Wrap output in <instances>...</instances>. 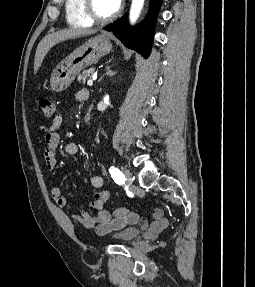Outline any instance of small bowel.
<instances>
[{
  "mask_svg": "<svg viewBox=\"0 0 255 287\" xmlns=\"http://www.w3.org/2000/svg\"><path fill=\"white\" fill-rule=\"evenodd\" d=\"M83 92H79L78 99H83ZM63 117L58 114L53 119L51 125L45 131L46 149L44 153V160L46 168L52 171L57 163V153L60 145V134L58 129L61 127ZM63 152L67 156H75L79 152L78 144L74 142L66 143L63 147ZM90 184L93 188L99 189L94 194L93 201L90 204L93 213L84 212L79 215H72L69 217L63 210L66 204V198L62 194L59 187H54L51 190L52 198L58 208V214L61 220L66 225H71L72 222L81 224L82 226L94 229L96 233L103 235L113 230L119 229L129 224H140L143 229H148L152 232L158 233L167 228L169 220L164 216L162 209H154L151 213V222L146 217L138 213L130 212L124 217H112V214L103 210V206L108 202L110 193L108 190L102 189L104 185L103 177L99 173H92L90 175Z\"/></svg>",
  "mask_w": 255,
  "mask_h": 287,
  "instance_id": "1",
  "label": "small bowel"
}]
</instances>
